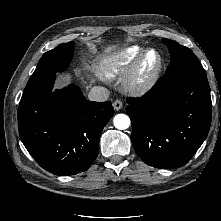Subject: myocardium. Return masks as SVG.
<instances>
[{
	"instance_id": "f54148a6",
	"label": "myocardium",
	"mask_w": 221,
	"mask_h": 221,
	"mask_svg": "<svg viewBox=\"0 0 221 221\" xmlns=\"http://www.w3.org/2000/svg\"><path fill=\"white\" fill-rule=\"evenodd\" d=\"M151 52L156 55V64L149 72L145 73L143 64L147 55ZM162 67L163 58L158 49L149 47L142 50L124 78L125 90L137 95L148 92L158 81Z\"/></svg>"
}]
</instances>
